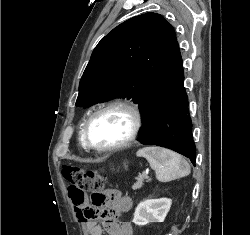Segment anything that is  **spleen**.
<instances>
[{
    "mask_svg": "<svg viewBox=\"0 0 250 235\" xmlns=\"http://www.w3.org/2000/svg\"><path fill=\"white\" fill-rule=\"evenodd\" d=\"M144 157L156 172V178L168 182L190 174V165L176 152L160 147H145L137 152Z\"/></svg>",
    "mask_w": 250,
    "mask_h": 235,
    "instance_id": "1",
    "label": "spleen"
}]
</instances>
